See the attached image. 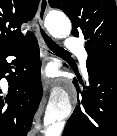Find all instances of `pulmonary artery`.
I'll return each instance as SVG.
<instances>
[{"label":"pulmonary artery","instance_id":"obj_1","mask_svg":"<svg viewBox=\"0 0 117 136\" xmlns=\"http://www.w3.org/2000/svg\"><path fill=\"white\" fill-rule=\"evenodd\" d=\"M66 47L68 50L76 52L80 58L82 69L86 72V61H87V52L83 48L82 43L73 37H69L66 42Z\"/></svg>","mask_w":117,"mask_h":136}]
</instances>
